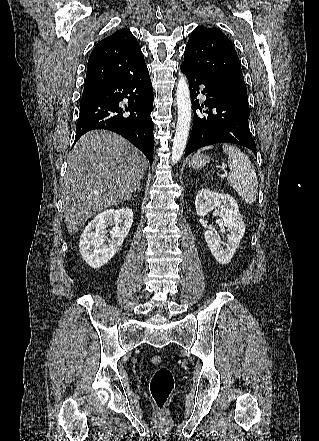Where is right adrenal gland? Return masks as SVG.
Returning a JSON list of instances; mask_svg holds the SVG:
<instances>
[{
	"label": "right adrenal gland",
	"instance_id": "obj_1",
	"mask_svg": "<svg viewBox=\"0 0 319 441\" xmlns=\"http://www.w3.org/2000/svg\"><path fill=\"white\" fill-rule=\"evenodd\" d=\"M136 190H137V192H140V191H141L140 182L137 184V187H136V189L134 190V193L136 192Z\"/></svg>",
	"mask_w": 319,
	"mask_h": 441
}]
</instances>
